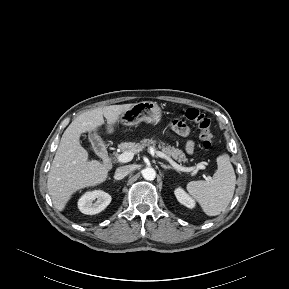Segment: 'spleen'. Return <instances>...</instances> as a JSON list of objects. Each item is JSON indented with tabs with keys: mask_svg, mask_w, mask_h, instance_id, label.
<instances>
[{
	"mask_svg": "<svg viewBox=\"0 0 289 289\" xmlns=\"http://www.w3.org/2000/svg\"><path fill=\"white\" fill-rule=\"evenodd\" d=\"M217 171L209 181H190L186 188L208 216H217L232 200L236 175L228 154L217 157Z\"/></svg>",
	"mask_w": 289,
	"mask_h": 289,
	"instance_id": "obj_1",
	"label": "spleen"
}]
</instances>
